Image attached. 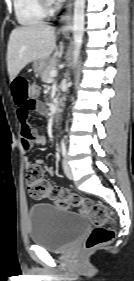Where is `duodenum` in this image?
<instances>
[{
	"instance_id": "1",
	"label": "duodenum",
	"mask_w": 134,
	"mask_h": 281,
	"mask_svg": "<svg viewBox=\"0 0 134 281\" xmlns=\"http://www.w3.org/2000/svg\"><path fill=\"white\" fill-rule=\"evenodd\" d=\"M59 111H60L59 102H56L53 106V117L55 120H57V118H58Z\"/></svg>"
}]
</instances>
